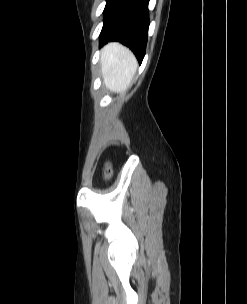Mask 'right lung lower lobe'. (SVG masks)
I'll return each instance as SVG.
<instances>
[{"label": "right lung lower lobe", "mask_w": 247, "mask_h": 304, "mask_svg": "<svg viewBox=\"0 0 247 304\" xmlns=\"http://www.w3.org/2000/svg\"><path fill=\"white\" fill-rule=\"evenodd\" d=\"M100 47L110 41L128 46L141 64L145 55L149 0H106Z\"/></svg>", "instance_id": "obj_1"}]
</instances>
